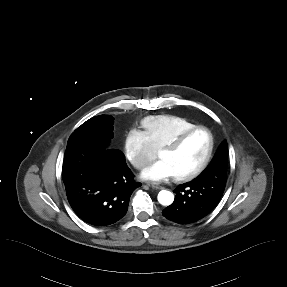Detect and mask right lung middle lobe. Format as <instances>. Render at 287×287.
<instances>
[{
    "label": "right lung middle lobe",
    "mask_w": 287,
    "mask_h": 287,
    "mask_svg": "<svg viewBox=\"0 0 287 287\" xmlns=\"http://www.w3.org/2000/svg\"><path fill=\"white\" fill-rule=\"evenodd\" d=\"M113 123L114 118L109 115L93 117L71 134L67 144L83 139H97L108 144L113 138Z\"/></svg>",
    "instance_id": "1"
}]
</instances>
